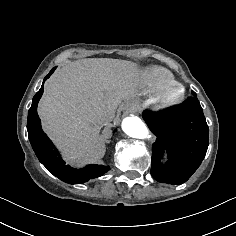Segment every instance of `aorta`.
<instances>
[{
    "label": "aorta",
    "instance_id": "1",
    "mask_svg": "<svg viewBox=\"0 0 236 236\" xmlns=\"http://www.w3.org/2000/svg\"><path fill=\"white\" fill-rule=\"evenodd\" d=\"M121 126L122 130L132 138L149 139L151 137L144 122L136 116L124 118Z\"/></svg>",
    "mask_w": 236,
    "mask_h": 236
}]
</instances>
